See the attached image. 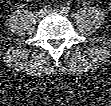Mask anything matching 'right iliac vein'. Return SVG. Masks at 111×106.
Here are the masks:
<instances>
[{
  "label": "right iliac vein",
  "mask_w": 111,
  "mask_h": 106,
  "mask_svg": "<svg viewBox=\"0 0 111 106\" xmlns=\"http://www.w3.org/2000/svg\"><path fill=\"white\" fill-rule=\"evenodd\" d=\"M47 13L48 11L43 8L37 12V16L41 18V17H44Z\"/></svg>",
  "instance_id": "right-iliac-vein-1"
}]
</instances>
